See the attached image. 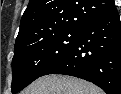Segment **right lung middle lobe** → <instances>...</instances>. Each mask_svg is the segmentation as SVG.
<instances>
[{
    "label": "right lung middle lobe",
    "mask_w": 121,
    "mask_h": 94,
    "mask_svg": "<svg viewBox=\"0 0 121 94\" xmlns=\"http://www.w3.org/2000/svg\"><path fill=\"white\" fill-rule=\"evenodd\" d=\"M79 30H60L49 34L34 33L15 44L12 59V93L36 80L65 56L77 42Z\"/></svg>",
    "instance_id": "obj_1"
}]
</instances>
